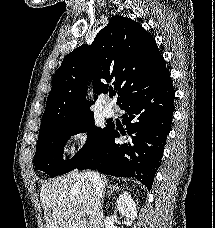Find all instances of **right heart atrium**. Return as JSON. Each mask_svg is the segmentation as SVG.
I'll return each mask as SVG.
<instances>
[{"label":"right heart atrium","mask_w":215,"mask_h":228,"mask_svg":"<svg viewBox=\"0 0 215 228\" xmlns=\"http://www.w3.org/2000/svg\"><path fill=\"white\" fill-rule=\"evenodd\" d=\"M93 139V129L88 124H81L70 130V156L72 158L80 156L91 144Z\"/></svg>","instance_id":"right-heart-atrium-1"}]
</instances>
